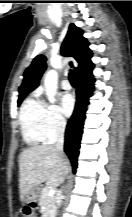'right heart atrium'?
<instances>
[{
  "instance_id": "obj_1",
  "label": "right heart atrium",
  "mask_w": 132,
  "mask_h": 217,
  "mask_svg": "<svg viewBox=\"0 0 132 217\" xmlns=\"http://www.w3.org/2000/svg\"><path fill=\"white\" fill-rule=\"evenodd\" d=\"M66 121L59 108L54 104L45 106L43 118V132L46 140L52 141L59 137L65 130Z\"/></svg>"
}]
</instances>
